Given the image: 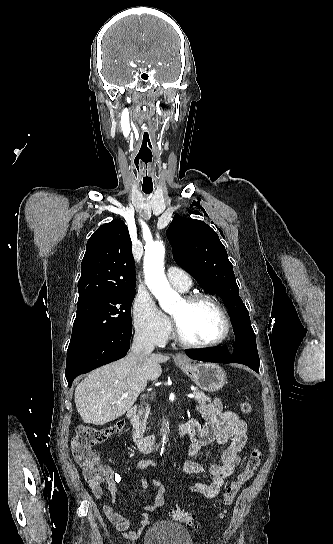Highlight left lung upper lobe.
Wrapping results in <instances>:
<instances>
[{
  "label": "left lung upper lobe",
  "mask_w": 333,
  "mask_h": 544,
  "mask_svg": "<svg viewBox=\"0 0 333 544\" xmlns=\"http://www.w3.org/2000/svg\"><path fill=\"white\" fill-rule=\"evenodd\" d=\"M167 236L175 261L188 270L203 288L222 295L231 321L250 320L239 296L233 265L217 233L203 221L176 215Z\"/></svg>",
  "instance_id": "1"
}]
</instances>
